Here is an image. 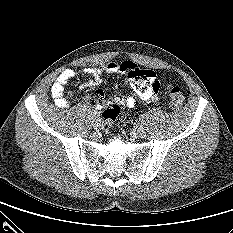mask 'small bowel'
Listing matches in <instances>:
<instances>
[{
	"label": "small bowel",
	"mask_w": 233,
	"mask_h": 233,
	"mask_svg": "<svg viewBox=\"0 0 233 233\" xmlns=\"http://www.w3.org/2000/svg\"><path fill=\"white\" fill-rule=\"evenodd\" d=\"M138 66L132 61H116L97 68H85L83 73L90 75L91 80L81 84V88L95 85L102 80L104 75L119 74L124 76L129 83L130 87L134 91V96H127L119 99L118 101L123 107L133 108L137 104V99L142 101H155L158 99L159 81L153 71L152 77L148 82H135L129 78L128 74L132 67ZM77 73L72 69L63 70L57 79L54 81L51 87V95L57 106L64 108L68 106V100L65 95L66 85L70 79L75 77ZM74 92H68V96H73ZM88 106H93L97 110L103 108L106 104L105 94L102 90H98L96 95L87 96L84 100Z\"/></svg>",
	"instance_id": "c3829d8e"
}]
</instances>
